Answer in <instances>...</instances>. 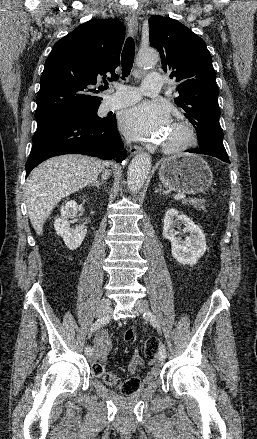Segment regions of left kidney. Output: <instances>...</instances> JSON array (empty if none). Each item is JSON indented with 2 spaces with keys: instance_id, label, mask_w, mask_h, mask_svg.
Listing matches in <instances>:
<instances>
[{
  "instance_id": "5707ae66",
  "label": "left kidney",
  "mask_w": 257,
  "mask_h": 439,
  "mask_svg": "<svg viewBox=\"0 0 257 439\" xmlns=\"http://www.w3.org/2000/svg\"><path fill=\"white\" fill-rule=\"evenodd\" d=\"M163 237L171 241V252L180 264L195 265L206 249V240L203 231L185 215L174 209H168L163 221ZM183 224L184 231L189 233L184 239L176 237L174 227Z\"/></svg>"
}]
</instances>
